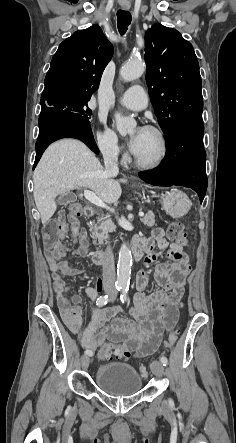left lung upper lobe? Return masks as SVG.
Masks as SVG:
<instances>
[{"label": "left lung upper lobe", "mask_w": 236, "mask_h": 443, "mask_svg": "<svg viewBox=\"0 0 236 443\" xmlns=\"http://www.w3.org/2000/svg\"><path fill=\"white\" fill-rule=\"evenodd\" d=\"M146 82L165 136L178 123L202 119L199 64L193 46L173 28L154 24L145 34Z\"/></svg>", "instance_id": "5c2ea615"}]
</instances>
